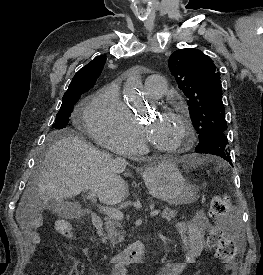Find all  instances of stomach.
I'll use <instances>...</instances> for the list:
<instances>
[{"label":"stomach","mask_w":263,"mask_h":275,"mask_svg":"<svg viewBox=\"0 0 263 275\" xmlns=\"http://www.w3.org/2000/svg\"><path fill=\"white\" fill-rule=\"evenodd\" d=\"M143 178L150 194L173 204H186L196 199V189L186 183L173 162L159 163L148 167Z\"/></svg>","instance_id":"obj_1"}]
</instances>
